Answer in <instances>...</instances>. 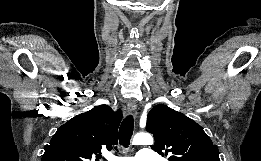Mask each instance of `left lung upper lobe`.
Wrapping results in <instances>:
<instances>
[{"mask_svg": "<svg viewBox=\"0 0 261 161\" xmlns=\"http://www.w3.org/2000/svg\"><path fill=\"white\" fill-rule=\"evenodd\" d=\"M146 130L155 138L151 148L169 156V161H220L217 146L203 128L166 105H157L148 113Z\"/></svg>", "mask_w": 261, "mask_h": 161, "instance_id": "1", "label": "left lung upper lobe"}]
</instances>
